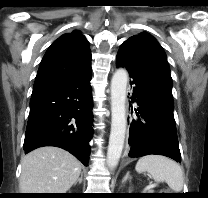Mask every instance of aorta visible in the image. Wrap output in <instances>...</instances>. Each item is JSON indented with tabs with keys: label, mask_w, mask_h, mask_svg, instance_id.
<instances>
[{
	"label": "aorta",
	"mask_w": 208,
	"mask_h": 198,
	"mask_svg": "<svg viewBox=\"0 0 208 198\" xmlns=\"http://www.w3.org/2000/svg\"><path fill=\"white\" fill-rule=\"evenodd\" d=\"M128 73L117 69L111 80V131L107 150V163L113 169L122 154L126 133V88Z\"/></svg>",
	"instance_id": "aorta-1"
}]
</instances>
